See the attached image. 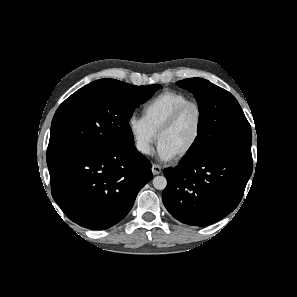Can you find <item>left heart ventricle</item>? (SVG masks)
Segmentation results:
<instances>
[{"instance_id":"1","label":"left heart ventricle","mask_w":297,"mask_h":297,"mask_svg":"<svg viewBox=\"0 0 297 297\" xmlns=\"http://www.w3.org/2000/svg\"><path fill=\"white\" fill-rule=\"evenodd\" d=\"M198 125V116L195 109H188L178 123L163 133L159 142L164 143L175 155L182 152L193 140Z\"/></svg>"}]
</instances>
